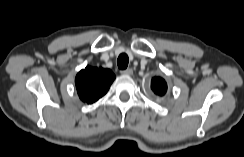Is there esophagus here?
Masks as SVG:
<instances>
[{
  "mask_svg": "<svg viewBox=\"0 0 244 157\" xmlns=\"http://www.w3.org/2000/svg\"><path fill=\"white\" fill-rule=\"evenodd\" d=\"M121 74H123V75H132L133 74V70L131 68H127L125 70H121Z\"/></svg>",
  "mask_w": 244,
  "mask_h": 157,
  "instance_id": "obj_1",
  "label": "esophagus"
}]
</instances>
